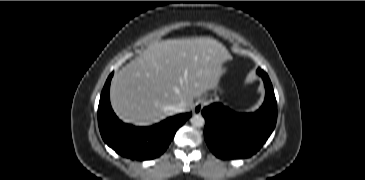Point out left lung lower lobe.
I'll return each instance as SVG.
<instances>
[{
  "instance_id": "0a47b994",
  "label": "left lung lower lobe",
  "mask_w": 365,
  "mask_h": 180,
  "mask_svg": "<svg viewBox=\"0 0 365 180\" xmlns=\"http://www.w3.org/2000/svg\"><path fill=\"white\" fill-rule=\"evenodd\" d=\"M266 89L263 105L254 113H235L219 103L202 110L204 137L210 150L222 159L247 158L255 154L275 128L277 102L266 72L258 68Z\"/></svg>"
}]
</instances>
